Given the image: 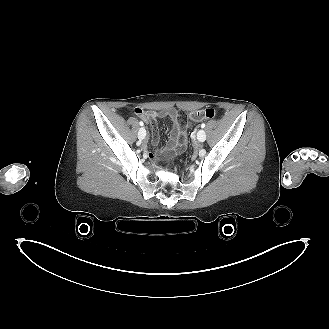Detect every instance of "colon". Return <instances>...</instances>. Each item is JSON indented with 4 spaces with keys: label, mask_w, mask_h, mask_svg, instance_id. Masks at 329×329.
<instances>
[{
    "label": "colon",
    "mask_w": 329,
    "mask_h": 329,
    "mask_svg": "<svg viewBox=\"0 0 329 329\" xmlns=\"http://www.w3.org/2000/svg\"><path fill=\"white\" fill-rule=\"evenodd\" d=\"M188 114V118L195 121V122H200L204 120H209L214 118L215 116V111L213 109H201V110H195L191 111Z\"/></svg>",
    "instance_id": "5ec220e1"
}]
</instances>
